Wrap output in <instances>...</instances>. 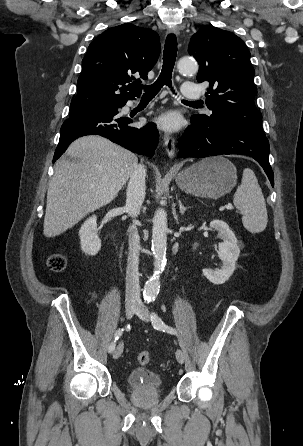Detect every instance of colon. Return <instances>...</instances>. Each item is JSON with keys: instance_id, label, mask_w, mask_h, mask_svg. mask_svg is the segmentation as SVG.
<instances>
[{"instance_id": "5ec220e1", "label": "colon", "mask_w": 303, "mask_h": 446, "mask_svg": "<svg viewBox=\"0 0 303 446\" xmlns=\"http://www.w3.org/2000/svg\"><path fill=\"white\" fill-rule=\"evenodd\" d=\"M47 266L52 272H61L67 266V259L62 253H54L48 258ZM137 359L141 365H147L152 361V355L148 351H142Z\"/></svg>"}]
</instances>
